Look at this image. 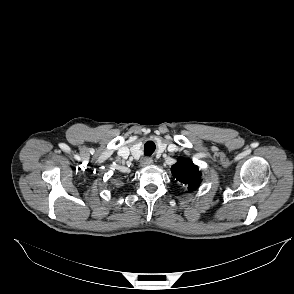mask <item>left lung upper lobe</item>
I'll use <instances>...</instances> for the list:
<instances>
[{"mask_svg":"<svg viewBox=\"0 0 294 294\" xmlns=\"http://www.w3.org/2000/svg\"><path fill=\"white\" fill-rule=\"evenodd\" d=\"M171 171L178 181L187 185L189 192L196 190L201 183V173L189 159H179Z\"/></svg>","mask_w":294,"mask_h":294,"instance_id":"5c2ea615","label":"left lung upper lobe"}]
</instances>
